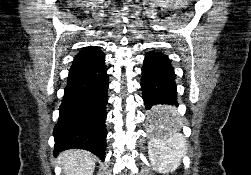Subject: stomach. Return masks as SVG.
Masks as SVG:
<instances>
[{
  "label": "stomach",
  "mask_w": 251,
  "mask_h": 175,
  "mask_svg": "<svg viewBox=\"0 0 251 175\" xmlns=\"http://www.w3.org/2000/svg\"><path fill=\"white\" fill-rule=\"evenodd\" d=\"M152 110H158V107H152ZM163 110H168V107H163ZM173 110V107H170ZM167 114H147V119L151 122H156V119H167ZM170 123H146V128H176V123H179V118L167 119ZM152 134H180V129H152Z\"/></svg>",
  "instance_id": "0dacf381"
}]
</instances>
